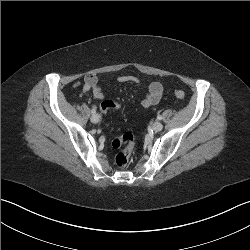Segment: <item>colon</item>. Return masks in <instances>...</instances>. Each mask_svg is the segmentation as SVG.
I'll list each match as a JSON object with an SVG mask.
<instances>
[{
  "mask_svg": "<svg viewBox=\"0 0 250 250\" xmlns=\"http://www.w3.org/2000/svg\"><path fill=\"white\" fill-rule=\"evenodd\" d=\"M175 96L183 100L185 98V93L181 89L175 90ZM101 109L106 112L109 109H113L116 113H119L122 110V107L119 104H116L112 100H105L101 104ZM112 146L116 149L122 148L115 157V164L119 168L125 167L135 148V137L131 132H125L119 137L115 138L112 141Z\"/></svg>",
  "mask_w": 250,
  "mask_h": 250,
  "instance_id": "colon-1",
  "label": "colon"
}]
</instances>
